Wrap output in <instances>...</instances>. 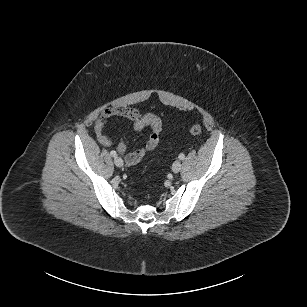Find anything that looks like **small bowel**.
Returning a JSON list of instances; mask_svg holds the SVG:
<instances>
[{
	"instance_id": "obj_1",
	"label": "small bowel",
	"mask_w": 307,
	"mask_h": 307,
	"mask_svg": "<svg viewBox=\"0 0 307 307\" xmlns=\"http://www.w3.org/2000/svg\"><path fill=\"white\" fill-rule=\"evenodd\" d=\"M125 118L133 121L132 130L138 132L144 128H148L150 135L144 147H141L135 151L129 152L125 144L118 145V151L124 156L127 164L133 165L141 161L147 153L154 150L162 135L163 123L161 119L152 114L147 113L141 115L139 110L134 107H116L105 109L94 125L95 135L97 140L105 146L112 144L111 137L105 132V126L107 122L112 118Z\"/></svg>"
}]
</instances>
